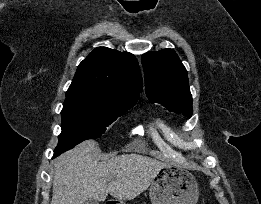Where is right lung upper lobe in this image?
I'll return each mask as SVG.
<instances>
[{
	"instance_id": "obj_1",
	"label": "right lung upper lobe",
	"mask_w": 261,
	"mask_h": 204,
	"mask_svg": "<svg viewBox=\"0 0 261 204\" xmlns=\"http://www.w3.org/2000/svg\"><path fill=\"white\" fill-rule=\"evenodd\" d=\"M142 76L134 55L97 47L83 60L66 97L89 96L100 103L137 102Z\"/></svg>"
}]
</instances>
